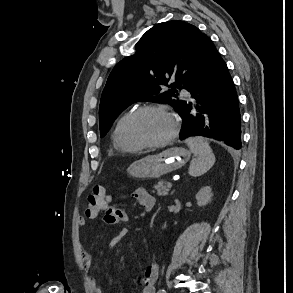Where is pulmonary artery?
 <instances>
[{"instance_id": "obj_1", "label": "pulmonary artery", "mask_w": 293, "mask_h": 293, "mask_svg": "<svg viewBox=\"0 0 293 293\" xmlns=\"http://www.w3.org/2000/svg\"><path fill=\"white\" fill-rule=\"evenodd\" d=\"M181 95H182V96H188V95H189V92L186 91V90H182V91H181Z\"/></svg>"}]
</instances>
